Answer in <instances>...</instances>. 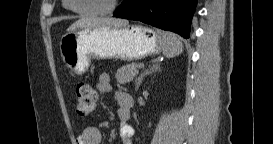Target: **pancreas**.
Returning <instances> with one entry per match:
<instances>
[{
  "label": "pancreas",
  "instance_id": "1",
  "mask_svg": "<svg viewBox=\"0 0 273 144\" xmlns=\"http://www.w3.org/2000/svg\"><path fill=\"white\" fill-rule=\"evenodd\" d=\"M138 74V64L130 63L117 70L115 78L119 84L129 83Z\"/></svg>",
  "mask_w": 273,
  "mask_h": 144
}]
</instances>
